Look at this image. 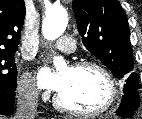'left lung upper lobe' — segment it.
<instances>
[{
  "label": "left lung upper lobe",
  "mask_w": 142,
  "mask_h": 119,
  "mask_svg": "<svg viewBox=\"0 0 142 119\" xmlns=\"http://www.w3.org/2000/svg\"><path fill=\"white\" fill-rule=\"evenodd\" d=\"M72 7L85 47L125 82L124 93L138 91L127 16L119 1L73 0Z\"/></svg>",
  "instance_id": "obj_1"
}]
</instances>
